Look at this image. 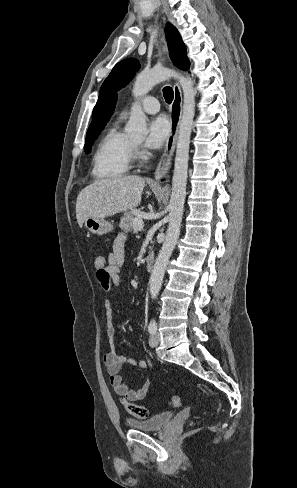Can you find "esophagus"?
Wrapping results in <instances>:
<instances>
[{
    "label": "esophagus",
    "mask_w": 297,
    "mask_h": 488,
    "mask_svg": "<svg viewBox=\"0 0 297 488\" xmlns=\"http://www.w3.org/2000/svg\"><path fill=\"white\" fill-rule=\"evenodd\" d=\"M173 91L174 98L170 108L171 131L167 139L164 152L154 173V178L156 181L164 177L169 170L179 132L180 120L182 115V93L178 82L174 83Z\"/></svg>",
    "instance_id": "1"
}]
</instances>
